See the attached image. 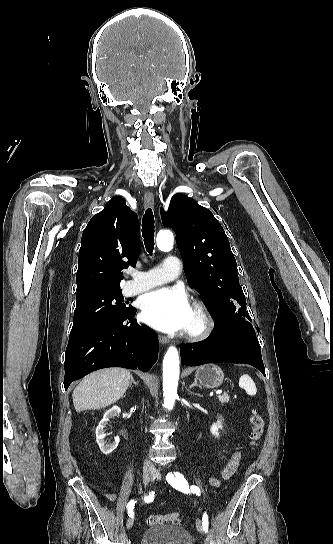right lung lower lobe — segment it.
<instances>
[{"label": "right lung lower lobe", "mask_w": 333, "mask_h": 544, "mask_svg": "<svg viewBox=\"0 0 333 544\" xmlns=\"http://www.w3.org/2000/svg\"><path fill=\"white\" fill-rule=\"evenodd\" d=\"M133 308L123 317L69 339L65 353L64 387L92 371L107 367L148 371L158 357L156 334L138 324Z\"/></svg>", "instance_id": "obj_1"}]
</instances>
